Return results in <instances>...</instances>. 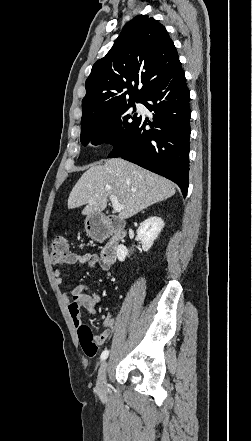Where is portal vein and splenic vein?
Masks as SVG:
<instances>
[{
  "instance_id": "portal-vein-and-splenic-vein-1",
  "label": "portal vein and splenic vein",
  "mask_w": 252,
  "mask_h": 441,
  "mask_svg": "<svg viewBox=\"0 0 252 441\" xmlns=\"http://www.w3.org/2000/svg\"><path fill=\"white\" fill-rule=\"evenodd\" d=\"M109 198H110V201L112 202L113 209H114L116 212H120V211L123 210V206L119 203V201H118V199H117L116 196H114V195H110Z\"/></svg>"
}]
</instances>
